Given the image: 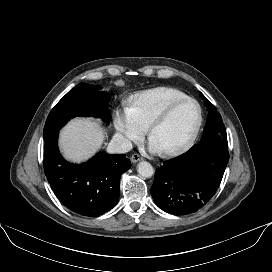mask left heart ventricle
<instances>
[{
	"mask_svg": "<svg viewBox=\"0 0 272 272\" xmlns=\"http://www.w3.org/2000/svg\"><path fill=\"white\" fill-rule=\"evenodd\" d=\"M198 118L197 106L192 102L179 105L153 132V140L160 150L183 144L192 133Z\"/></svg>",
	"mask_w": 272,
	"mask_h": 272,
	"instance_id": "left-heart-ventricle-1",
	"label": "left heart ventricle"
}]
</instances>
